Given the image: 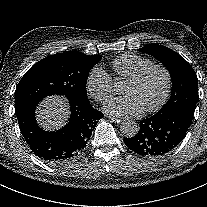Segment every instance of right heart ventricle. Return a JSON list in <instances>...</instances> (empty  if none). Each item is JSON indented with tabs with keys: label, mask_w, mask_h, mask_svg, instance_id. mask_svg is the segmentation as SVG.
Returning a JSON list of instances; mask_svg holds the SVG:
<instances>
[{
	"label": "right heart ventricle",
	"mask_w": 207,
	"mask_h": 207,
	"mask_svg": "<svg viewBox=\"0 0 207 207\" xmlns=\"http://www.w3.org/2000/svg\"><path fill=\"white\" fill-rule=\"evenodd\" d=\"M150 64L152 61L148 58L136 54H125L113 62V68L117 79L127 80Z\"/></svg>",
	"instance_id": "1"
}]
</instances>
